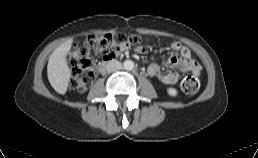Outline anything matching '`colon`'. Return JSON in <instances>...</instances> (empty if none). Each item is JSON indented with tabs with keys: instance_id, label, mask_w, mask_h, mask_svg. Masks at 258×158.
<instances>
[{
	"instance_id": "1",
	"label": "colon",
	"mask_w": 258,
	"mask_h": 158,
	"mask_svg": "<svg viewBox=\"0 0 258 158\" xmlns=\"http://www.w3.org/2000/svg\"><path fill=\"white\" fill-rule=\"evenodd\" d=\"M141 43L137 35L121 33L90 35L84 45L74 46L68 54V62L72 67L71 87L78 92H84L94 80V61L90 51L105 58L113 57L122 49L135 48ZM182 90L187 94H195L200 88L197 76H187L181 82Z\"/></svg>"
}]
</instances>
